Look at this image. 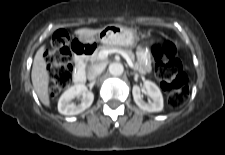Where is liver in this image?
Wrapping results in <instances>:
<instances>
[{
    "label": "liver",
    "instance_id": "6515ba94",
    "mask_svg": "<svg viewBox=\"0 0 225 155\" xmlns=\"http://www.w3.org/2000/svg\"><path fill=\"white\" fill-rule=\"evenodd\" d=\"M102 29H87L82 28L75 31L76 35L84 36V37H92L98 34ZM44 46L41 47L33 61L31 78L34 90L39 97L40 101L47 107L50 106L49 99V72L46 69V62L43 58Z\"/></svg>",
    "mask_w": 225,
    "mask_h": 155
}]
</instances>
